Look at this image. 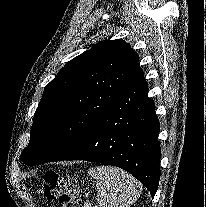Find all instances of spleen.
Masks as SVG:
<instances>
[{
  "label": "spleen",
  "instance_id": "3e777b00",
  "mask_svg": "<svg viewBox=\"0 0 206 207\" xmlns=\"http://www.w3.org/2000/svg\"><path fill=\"white\" fill-rule=\"evenodd\" d=\"M96 182V200L100 207H129L141 193L140 184L127 172L113 166L90 168Z\"/></svg>",
  "mask_w": 206,
  "mask_h": 207
}]
</instances>
